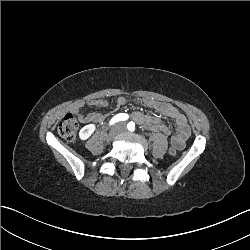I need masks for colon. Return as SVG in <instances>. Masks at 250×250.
<instances>
[{
	"instance_id": "1",
	"label": "colon",
	"mask_w": 250,
	"mask_h": 250,
	"mask_svg": "<svg viewBox=\"0 0 250 250\" xmlns=\"http://www.w3.org/2000/svg\"><path fill=\"white\" fill-rule=\"evenodd\" d=\"M78 129H79L78 116L76 114L69 113L59 123L57 130L61 138L67 141H72L76 138ZM178 150H179L178 147L173 144L171 148L167 149V154L175 156Z\"/></svg>"
}]
</instances>
